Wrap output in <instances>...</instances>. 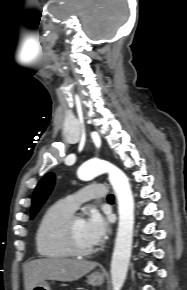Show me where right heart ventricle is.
<instances>
[{
  "label": "right heart ventricle",
  "mask_w": 187,
  "mask_h": 290,
  "mask_svg": "<svg viewBox=\"0 0 187 290\" xmlns=\"http://www.w3.org/2000/svg\"><path fill=\"white\" fill-rule=\"evenodd\" d=\"M74 210L61 200L49 206L42 215L35 234L37 253L46 259H65L72 256L63 243L60 227Z\"/></svg>",
  "instance_id": "obj_1"
}]
</instances>
